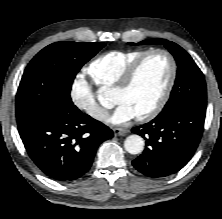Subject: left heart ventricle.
<instances>
[{
    "instance_id": "1",
    "label": "left heart ventricle",
    "mask_w": 222,
    "mask_h": 219,
    "mask_svg": "<svg viewBox=\"0 0 222 219\" xmlns=\"http://www.w3.org/2000/svg\"><path fill=\"white\" fill-rule=\"evenodd\" d=\"M169 61L162 54L149 56L125 91L114 92V102L129 105L136 116L150 110L160 99L169 77Z\"/></svg>"
}]
</instances>
